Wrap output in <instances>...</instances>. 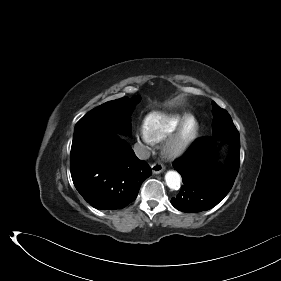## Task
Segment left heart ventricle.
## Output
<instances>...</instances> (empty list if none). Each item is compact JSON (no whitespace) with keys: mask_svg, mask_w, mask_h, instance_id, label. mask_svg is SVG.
<instances>
[{"mask_svg":"<svg viewBox=\"0 0 281 281\" xmlns=\"http://www.w3.org/2000/svg\"><path fill=\"white\" fill-rule=\"evenodd\" d=\"M193 129V122L190 121L187 126H186V129H185V134H189Z\"/></svg>","mask_w":281,"mask_h":281,"instance_id":"left-heart-ventricle-1","label":"left heart ventricle"}]
</instances>
